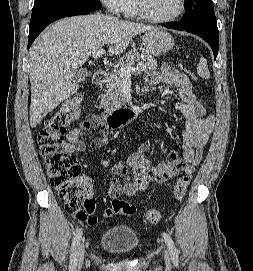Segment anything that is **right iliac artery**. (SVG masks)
I'll list each match as a JSON object with an SVG mask.
<instances>
[{
  "label": "right iliac artery",
  "instance_id": "1",
  "mask_svg": "<svg viewBox=\"0 0 253 271\" xmlns=\"http://www.w3.org/2000/svg\"><path fill=\"white\" fill-rule=\"evenodd\" d=\"M82 231L80 230L74 237L72 247H71V255H70V263H69V270L75 271L77 265V257H78V250L80 246V241L82 238Z\"/></svg>",
  "mask_w": 253,
  "mask_h": 271
}]
</instances>
